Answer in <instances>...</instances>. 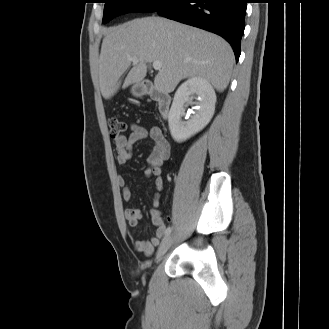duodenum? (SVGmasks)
Returning <instances> with one entry per match:
<instances>
[{
    "mask_svg": "<svg viewBox=\"0 0 329 329\" xmlns=\"http://www.w3.org/2000/svg\"><path fill=\"white\" fill-rule=\"evenodd\" d=\"M142 92L148 94L156 101L157 111L162 118H167L170 111L171 97L169 94L157 89L153 83L146 81L142 85Z\"/></svg>",
    "mask_w": 329,
    "mask_h": 329,
    "instance_id": "obj_1",
    "label": "duodenum"
}]
</instances>
